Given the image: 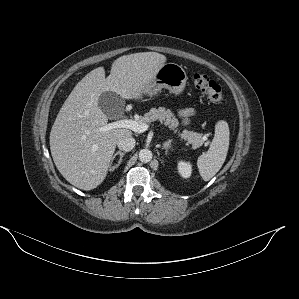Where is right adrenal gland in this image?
I'll return each mask as SVG.
<instances>
[{"label":"right adrenal gland","mask_w":299,"mask_h":299,"mask_svg":"<svg viewBox=\"0 0 299 299\" xmlns=\"http://www.w3.org/2000/svg\"><path fill=\"white\" fill-rule=\"evenodd\" d=\"M117 155L120 156V157H119V160H118V163H117L115 166L110 167V170H111V171H114V170L121 164V162H122V158H123V156L125 155V152L117 151V152L112 156V158H111L110 166L112 165V163H113V161H114V159H115V157H116Z\"/></svg>","instance_id":"right-adrenal-gland-1"}]
</instances>
